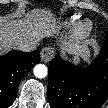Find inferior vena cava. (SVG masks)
Segmentation results:
<instances>
[{
  "mask_svg": "<svg viewBox=\"0 0 108 108\" xmlns=\"http://www.w3.org/2000/svg\"><path fill=\"white\" fill-rule=\"evenodd\" d=\"M38 46V43L37 42H34L32 44H22L19 46V50L23 51V52H30V51H33L37 48Z\"/></svg>",
  "mask_w": 108,
  "mask_h": 108,
  "instance_id": "602c4592",
  "label": "inferior vena cava"
}]
</instances>
